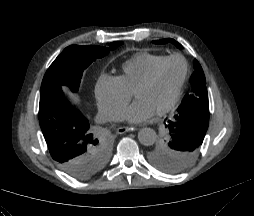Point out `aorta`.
<instances>
[{"mask_svg":"<svg viewBox=\"0 0 254 216\" xmlns=\"http://www.w3.org/2000/svg\"><path fill=\"white\" fill-rule=\"evenodd\" d=\"M138 140L142 145H153L156 141V132L152 128H142L138 132Z\"/></svg>","mask_w":254,"mask_h":216,"instance_id":"1","label":"aorta"}]
</instances>
